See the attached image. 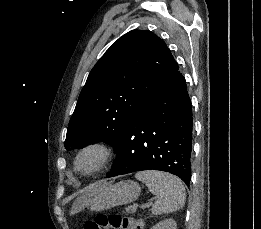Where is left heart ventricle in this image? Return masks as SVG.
<instances>
[{"label": "left heart ventricle", "instance_id": "obj_1", "mask_svg": "<svg viewBox=\"0 0 261 229\" xmlns=\"http://www.w3.org/2000/svg\"><path fill=\"white\" fill-rule=\"evenodd\" d=\"M94 163H95V158L93 156H88L83 161V164L86 167H91Z\"/></svg>", "mask_w": 261, "mask_h": 229}]
</instances>
